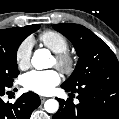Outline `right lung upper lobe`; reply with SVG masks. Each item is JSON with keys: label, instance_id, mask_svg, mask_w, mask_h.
I'll list each match as a JSON object with an SVG mask.
<instances>
[{"label": "right lung upper lobe", "instance_id": "cb5924a9", "mask_svg": "<svg viewBox=\"0 0 119 119\" xmlns=\"http://www.w3.org/2000/svg\"><path fill=\"white\" fill-rule=\"evenodd\" d=\"M33 25L25 26V27H18V28H9L0 30V35H17V36H25L29 33L30 29Z\"/></svg>", "mask_w": 119, "mask_h": 119}]
</instances>
